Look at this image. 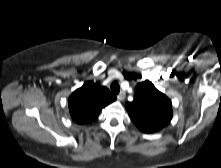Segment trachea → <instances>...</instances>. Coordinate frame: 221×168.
<instances>
[{
    "instance_id": "trachea-1",
    "label": "trachea",
    "mask_w": 221,
    "mask_h": 168,
    "mask_svg": "<svg viewBox=\"0 0 221 168\" xmlns=\"http://www.w3.org/2000/svg\"><path fill=\"white\" fill-rule=\"evenodd\" d=\"M111 91L115 94L120 92V86L116 81L111 84Z\"/></svg>"
}]
</instances>
